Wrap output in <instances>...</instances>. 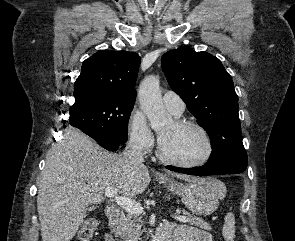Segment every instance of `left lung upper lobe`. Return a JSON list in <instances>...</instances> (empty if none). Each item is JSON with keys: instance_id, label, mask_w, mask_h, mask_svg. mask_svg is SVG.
<instances>
[{"instance_id": "left-lung-upper-lobe-1", "label": "left lung upper lobe", "mask_w": 295, "mask_h": 241, "mask_svg": "<svg viewBox=\"0 0 295 241\" xmlns=\"http://www.w3.org/2000/svg\"><path fill=\"white\" fill-rule=\"evenodd\" d=\"M161 65L170 87L210 137L212 153L207 165L246 170L238 97L220 60L182 47L165 53Z\"/></svg>"}]
</instances>
